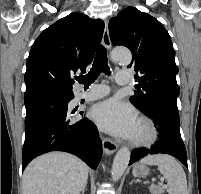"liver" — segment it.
Returning <instances> with one entry per match:
<instances>
[{
  "label": "liver",
  "instance_id": "obj_1",
  "mask_svg": "<svg viewBox=\"0 0 201 194\" xmlns=\"http://www.w3.org/2000/svg\"><path fill=\"white\" fill-rule=\"evenodd\" d=\"M88 167L77 157L51 152L34 159L22 177L23 194H80Z\"/></svg>",
  "mask_w": 201,
  "mask_h": 194
}]
</instances>
